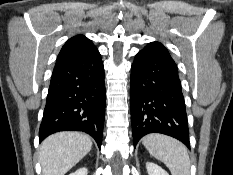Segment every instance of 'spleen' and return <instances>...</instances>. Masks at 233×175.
<instances>
[{
	"mask_svg": "<svg viewBox=\"0 0 233 175\" xmlns=\"http://www.w3.org/2000/svg\"><path fill=\"white\" fill-rule=\"evenodd\" d=\"M142 144L156 159L162 161L172 175H190L188 150L180 141L162 134H149Z\"/></svg>",
	"mask_w": 233,
	"mask_h": 175,
	"instance_id": "spleen-1",
	"label": "spleen"
}]
</instances>
